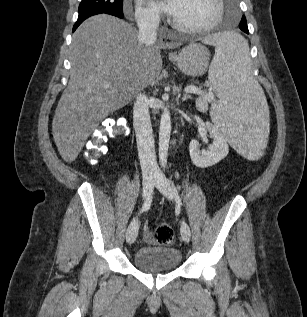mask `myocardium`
I'll return each instance as SVG.
<instances>
[{"label": "myocardium", "mask_w": 307, "mask_h": 317, "mask_svg": "<svg viewBox=\"0 0 307 317\" xmlns=\"http://www.w3.org/2000/svg\"><path fill=\"white\" fill-rule=\"evenodd\" d=\"M216 6H217V11L215 14V17L213 20L203 26L199 27H186L184 25H181L180 23L176 22L174 18L171 19V25L177 29L180 32L186 33V34H204L212 29H214L222 20L223 15H224V1L223 0H215Z\"/></svg>", "instance_id": "f54148a6"}]
</instances>
